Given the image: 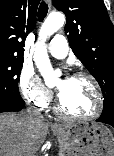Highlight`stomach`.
Returning a JSON list of instances; mask_svg holds the SVG:
<instances>
[{"instance_id": "0dacf381", "label": "stomach", "mask_w": 114, "mask_h": 156, "mask_svg": "<svg viewBox=\"0 0 114 156\" xmlns=\"http://www.w3.org/2000/svg\"><path fill=\"white\" fill-rule=\"evenodd\" d=\"M59 156H114V136L99 123H76L53 127Z\"/></svg>"}]
</instances>
